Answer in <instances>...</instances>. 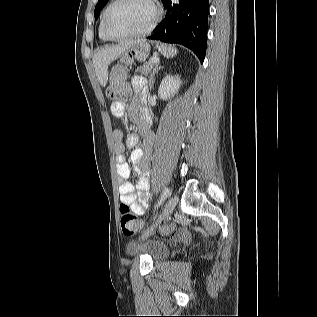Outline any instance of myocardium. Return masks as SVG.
Listing matches in <instances>:
<instances>
[{
	"label": "myocardium",
	"instance_id": "obj_1",
	"mask_svg": "<svg viewBox=\"0 0 317 317\" xmlns=\"http://www.w3.org/2000/svg\"><path fill=\"white\" fill-rule=\"evenodd\" d=\"M123 0H114L111 5L109 6V8L107 9L105 15H104V19H103V32L104 35L109 39V40H128V39H133V38H138V37H142L145 36L147 34H149L157 25V23L159 22L160 16H161V11L159 6L157 5L155 0H145L151 7L153 10V16L151 21L149 22V24L147 25L146 28H144L143 30L133 33V34H129V35H122V36H117L114 35L110 32L109 28H108V22H109V18L112 14V12L114 11V9L116 8V6L118 4H120Z\"/></svg>",
	"mask_w": 317,
	"mask_h": 317
}]
</instances>
